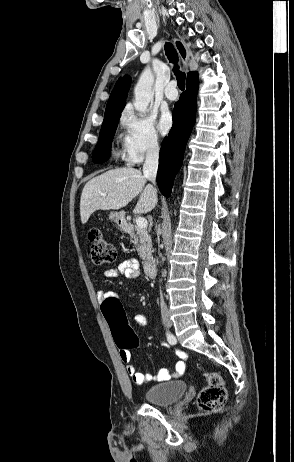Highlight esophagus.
Returning a JSON list of instances; mask_svg holds the SVG:
<instances>
[{
    "mask_svg": "<svg viewBox=\"0 0 294 462\" xmlns=\"http://www.w3.org/2000/svg\"><path fill=\"white\" fill-rule=\"evenodd\" d=\"M174 45L176 47V50L181 58V61L185 67L188 65V59L190 57V51L188 47L186 46L185 42L175 38L174 39Z\"/></svg>",
    "mask_w": 294,
    "mask_h": 462,
    "instance_id": "esophagus-1",
    "label": "esophagus"
}]
</instances>
